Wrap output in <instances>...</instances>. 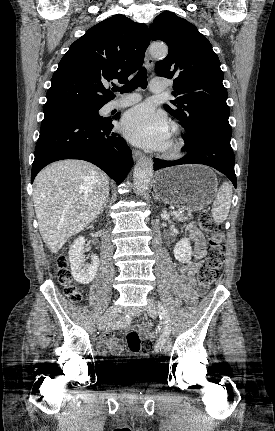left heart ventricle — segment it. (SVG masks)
I'll return each instance as SVG.
<instances>
[{
	"label": "left heart ventricle",
	"instance_id": "obj_1",
	"mask_svg": "<svg viewBox=\"0 0 275 431\" xmlns=\"http://www.w3.org/2000/svg\"><path fill=\"white\" fill-rule=\"evenodd\" d=\"M170 139H171V134H170V137H169V140H168V143H167V145L169 144V142H170ZM167 145H166V146H167Z\"/></svg>",
	"mask_w": 275,
	"mask_h": 431
}]
</instances>
